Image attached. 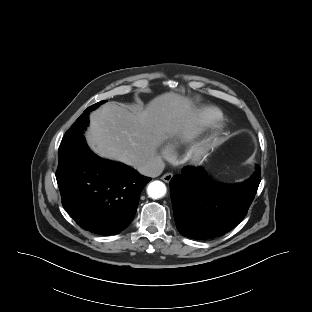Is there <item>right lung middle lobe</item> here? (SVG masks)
<instances>
[{"mask_svg": "<svg viewBox=\"0 0 312 312\" xmlns=\"http://www.w3.org/2000/svg\"><path fill=\"white\" fill-rule=\"evenodd\" d=\"M103 103L105 100L88 107L66 132L58 150V163L66 162L71 157L75 146L84 139L83 132L89 123V112Z\"/></svg>", "mask_w": 312, "mask_h": 312, "instance_id": "obj_1", "label": "right lung middle lobe"}]
</instances>
